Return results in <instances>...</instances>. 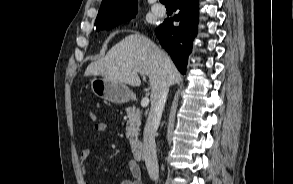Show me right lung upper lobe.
<instances>
[{"mask_svg":"<svg viewBox=\"0 0 293 184\" xmlns=\"http://www.w3.org/2000/svg\"><path fill=\"white\" fill-rule=\"evenodd\" d=\"M137 12V0H102L95 24L114 22Z\"/></svg>","mask_w":293,"mask_h":184,"instance_id":"obj_1","label":"right lung upper lobe"}]
</instances>
